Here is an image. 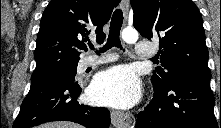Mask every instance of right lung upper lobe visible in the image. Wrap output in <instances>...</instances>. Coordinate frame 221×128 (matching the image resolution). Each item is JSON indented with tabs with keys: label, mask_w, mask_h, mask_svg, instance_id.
Returning <instances> with one entry per match:
<instances>
[{
	"label": "right lung upper lobe",
	"mask_w": 221,
	"mask_h": 128,
	"mask_svg": "<svg viewBox=\"0 0 221 128\" xmlns=\"http://www.w3.org/2000/svg\"><path fill=\"white\" fill-rule=\"evenodd\" d=\"M120 0H51L43 12L34 52L32 76H44L77 65L79 50L95 33L104 39L102 27Z\"/></svg>",
	"instance_id": "obj_1"
}]
</instances>
